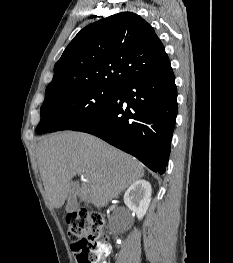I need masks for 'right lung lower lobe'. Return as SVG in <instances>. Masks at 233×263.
<instances>
[{"label":"right lung lower lobe","instance_id":"98d812e1","mask_svg":"<svg viewBox=\"0 0 233 263\" xmlns=\"http://www.w3.org/2000/svg\"><path fill=\"white\" fill-rule=\"evenodd\" d=\"M177 116V89L170 67L165 72L117 87L111 103L74 127L100 137L163 174Z\"/></svg>","mask_w":233,"mask_h":263}]
</instances>
